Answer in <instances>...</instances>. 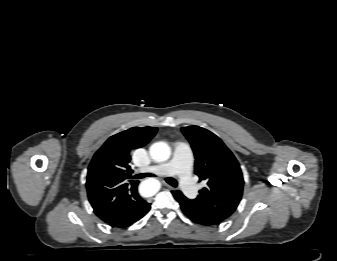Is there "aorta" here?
<instances>
[{
    "label": "aorta",
    "mask_w": 337,
    "mask_h": 261,
    "mask_svg": "<svg viewBox=\"0 0 337 261\" xmlns=\"http://www.w3.org/2000/svg\"><path fill=\"white\" fill-rule=\"evenodd\" d=\"M151 158L156 162H164L169 159L171 150L167 143L156 142L149 148ZM160 188V183L154 178H148L141 182L139 186V192L145 197H151L155 195Z\"/></svg>",
    "instance_id": "762f6f07"
}]
</instances>
